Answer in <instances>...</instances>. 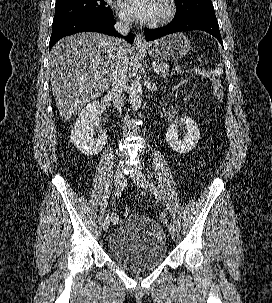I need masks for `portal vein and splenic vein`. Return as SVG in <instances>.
<instances>
[{"mask_svg": "<svg viewBox=\"0 0 272 303\" xmlns=\"http://www.w3.org/2000/svg\"><path fill=\"white\" fill-rule=\"evenodd\" d=\"M159 71H160L159 67L156 66V67L154 68V72H155V73H159Z\"/></svg>", "mask_w": 272, "mask_h": 303, "instance_id": "obj_1", "label": "portal vein and splenic vein"}]
</instances>
